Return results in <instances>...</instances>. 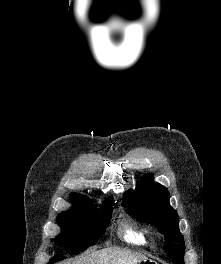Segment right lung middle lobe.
<instances>
[{
  "mask_svg": "<svg viewBox=\"0 0 221 264\" xmlns=\"http://www.w3.org/2000/svg\"><path fill=\"white\" fill-rule=\"evenodd\" d=\"M113 199L102 204L103 209L95 214L91 205L83 210H69L57 216L62 233L56 242L69 247L73 253H79L95 244L108 227L111 219ZM64 256L55 255L48 264L63 260Z\"/></svg>",
  "mask_w": 221,
  "mask_h": 264,
  "instance_id": "right-lung-middle-lobe-1",
  "label": "right lung middle lobe"
}]
</instances>
